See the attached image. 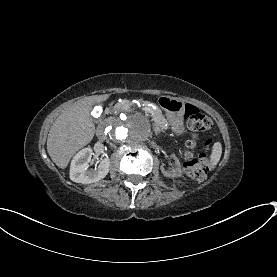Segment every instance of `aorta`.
<instances>
[{"label":"aorta","instance_id":"aorta-1","mask_svg":"<svg viewBox=\"0 0 277 277\" xmlns=\"http://www.w3.org/2000/svg\"><path fill=\"white\" fill-rule=\"evenodd\" d=\"M110 138L118 145L134 147L144 144L152 134L151 123L140 113L123 114L108 127Z\"/></svg>","mask_w":277,"mask_h":277}]
</instances>
